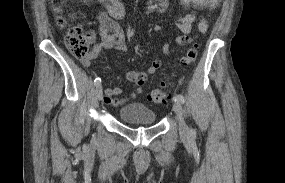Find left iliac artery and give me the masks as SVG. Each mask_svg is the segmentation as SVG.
<instances>
[{
    "instance_id": "obj_1",
    "label": "left iliac artery",
    "mask_w": 285,
    "mask_h": 183,
    "mask_svg": "<svg viewBox=\"0 0 285 183\" xmlns=\"http://www.w3.org/2000/svg\"><path fill=\"white\" fill-rule=\"evenodd\" d=\"M176 100H178V101L181 102L182 104L185 103V98H184V96H183L182 94H177V95H176ZM190 133H191L192 135H194V134H195V130H194V129H191V130H190Z\"/></svg>"
}]
</instances>
